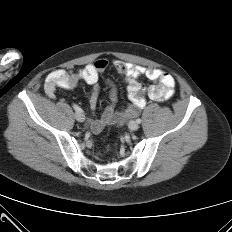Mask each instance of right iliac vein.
Wrapping results in <instances>:
<instances>
[{"mask_svg":"<svg viewBox=\"0 0 232 232\" xmlns=\"http://www.w3.org/2000/svg\"><path fill=\"white\" fill-rule=\"evenodd\" d=\"M74 117L78 122H83L85 120L84 114L79 113V112H76Z\"/></svg>","mask_w":232,"mask_h":232,"instance_id":"obj_1","label":"right iliac vein"}]
</instances>
